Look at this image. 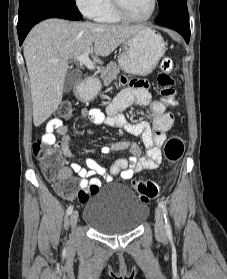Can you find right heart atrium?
<instances>
[{
	"instance_id": "1",
	"label": "right heart atrium",
	"mask_w": 227,
	"mask_h": 279,
	"mask_svg": "<svg viewBox=\"0 0 227 279\" xmlns=\"http://www.w3.org/2000/svg\"><path fill=\"white\" fill-rule=\"evenodd\" d=\"M77 7L88 17H95L107 0H74Z\"/></svg>"
}]
</instances>
